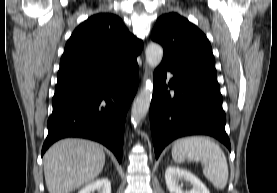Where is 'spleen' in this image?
<instances>
[{
	"mask_svg": "<svg viewBox=\"0 0 277 193\" xmlns=\"http://www.w3.org/2000/svg\"><path fill=\"white\" fill-rule=\"evenodd\" d=\"M172 158L181 163L185 160L200 161L203 174L218 190H223L228 181V164L222 149L211 139L191 136L177 140L172 148Z\"/></svg>",
	"mask_w": 277,
	"mask_h": 193,
	"instance_id": "spleen-1",
	"label": "spleen"
}]
</instances>
